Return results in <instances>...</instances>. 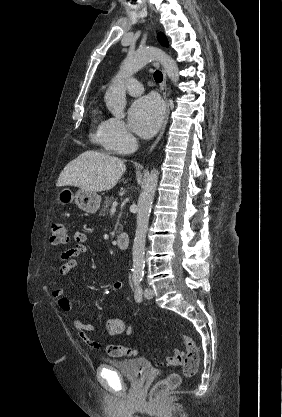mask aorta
Here are the masks:
<instances>
[{
    "label": "aorta",
    "instance_id": "762f6f07",
    "mask_svg": "<svg viewBox=\"0 0 282 417\" xmlns=\"http://www.w3.org/2000/svg\"><path fill=\"white\" fill-rule=\"evenodd\" d=\"M149 60H159L172 82H178L180 76L179 68L172 56L166 54L161 48H156V46L138 48L134 54H129L122 60L120 70L112 78L111 84H109L105 92L104 100L106 106L116 118H124V108L126 106L125 78L131 76L134 72H138ZM158 174L159 172L156 168L151 170L138 198L136 231L132 247V279H143L144 277L146 233L148 231L151 206L156 192Z\"/></svg>",
    "mask_w": 282,
    "mask_h": 417
}]
</instances>
